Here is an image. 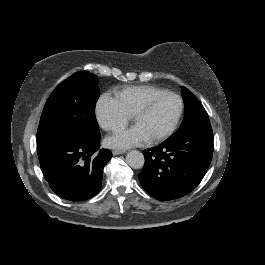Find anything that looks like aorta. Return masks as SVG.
I'll return each mask as SVG.
<instances>
[{"label": "aorta", "mask_w": 265, "mask_h": 265, "mask_svg": "<svg viewBox=\"0 0 265 265\" xmlns=\"http://www.w3.org/2000/svg\"><path fill=\"white\" fill-rule=\"evenodd\" d=\"M127 164L134 169H140L144 165V156L140 151L132 150L126 155Z\"/></svg>", "instance_id": "obj_1"}]
</instances>
